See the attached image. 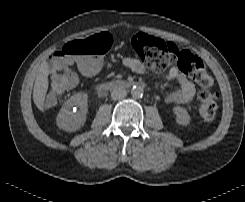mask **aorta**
I'll return each instance as SVG.
<instances>
[{
  "label": "aorta",
  "mask_w": 245,
  "mask_h": 202,
  "mask_svg": "<svg viewBox=\"0 0 245 202\" xmlns=\"http://www.w3.org/2000/svg\"><path fill=\"white\" fill-rule=\"evenodd\" d=\"M143 93H144V89L143 87L141 86H134L132 89H131V95L134 97V98H141L143 96Z\"/></svg>",
  "instance_id": "aorta-1"
}]
</instances>
